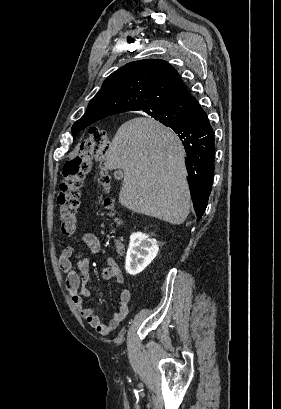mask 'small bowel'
I'll use <instances>...</instances> for the list:
<instances>
[{
	"mask_svg": "<svg viewBox=\"0 0 281 409\" xmlns=\"http://www.w3.org/2000/svg\"><path fill=\"white\" fill-rule=\"evenodd\" d=\"M77 228V219L66 220L62 224V232L67 236H74ZM81 242L88 247L91 253L97 254L101 250V245L98 238L92 233H83L80 236ZM74 249L70 246L64 248L59 257L61 270L66 273V288L69 291L72 302L80 311L82 317L100 334L107 335L113 331L127 316L129 312V304L131 301V292L128 288H122L119 292V305L113 317L109 322L104 323L95 314L94 309L85 307V299L91 296V292L87 287L90 280L89 261L82 259L78 261L77 272L72 263ZM101 276L105 280L114 279L117 283L123 284L125 281L124 275L112 257L106 260V267L102 270Z\"/></svg>",
	"mask_w": 281,
	"mask_h": 409,
	"instance_id": "1",
	"label": "small bowel"
}]
</instances>
